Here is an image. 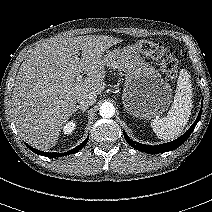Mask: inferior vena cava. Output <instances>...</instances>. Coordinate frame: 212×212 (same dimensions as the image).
<instances>
[{
    "label": "inferior vena cava",
    "mask_w": 212,
    "mask_h": 212,
    "mask_svg": "<svg viewBox=\"0 0 212 212\" xmlns=\"http://www.w3.org/2000/svg\"><path fill=\"white\" fill-rule=\"evenodd\" d=\"M96 95L93 93H82L77 97L78 103L83 107H88L96 102Z\"/></svg>",
    "instance_id": "1"
}]
</instances>
